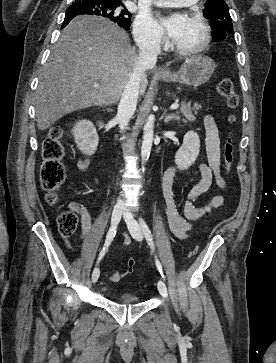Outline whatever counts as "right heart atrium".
<instances>
[{"label":"right heart atrium","mask_w":276,"mask_h":363,"mask_svg":"<svg viewBox=\"0 0 276 363\" xmlns=\"http://www.w3.org/2000/svg\"><path fill=\"white\" fill-rule=\"evenodd\" d=\"M136 41L145 47L157 48L163 42V34L152 16L147 12L140 13L134 24Z\"/></svg>","instance_id":"right-heart-atrium-1"}]
</instances>
